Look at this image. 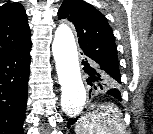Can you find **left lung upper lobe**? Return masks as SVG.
Segmentation results:
<instances>
[{
    "label": "left lung upper lobe",
    "mask_w": 153,
    "mask_h": 134,
    "mask_svg": "<svg viewBox=\"0 0 153 134\" xmlns=\"http://www.w3.org/2000/svg\"><path fill=\"white\" fill-rule=\"evenodd\" d=\"M58 17L67 18L75 25L80 48L89 60L113 73L105 88L108 91L118 90L121 76L117 48L107 19L95 7L83 0L64 1L58 11Z\"/></svg>",
    "instance_id": "left-lung-upper-lobe-1"
}]
</instances>
